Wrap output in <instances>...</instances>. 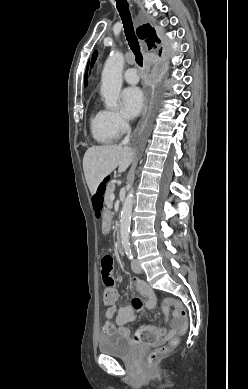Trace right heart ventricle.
Instances as JSON below:
<instances>
[{"instance_id":"obj_1","label":"right heart ventricle","mask_w":248,"mask_h":389,"mask_svg":"<svg viewBox=\"0 0 248 389\" xmlns=\"http://www.w3.org/2000/svg\"><path fill=\"white\" fill-rule=\"evenodd\" d=\"M89 125L91 134L98 143L108 144L116 137V134L110 126L106 110L96 109L91 115Z\"/></svg>"}]
</instances>
